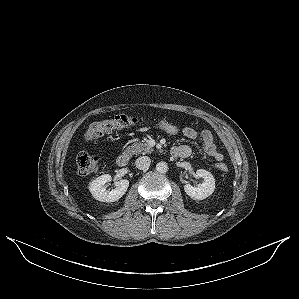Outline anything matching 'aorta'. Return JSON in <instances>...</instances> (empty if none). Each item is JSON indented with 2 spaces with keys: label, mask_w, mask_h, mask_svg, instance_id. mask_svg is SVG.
Listing matches in <instances>:
<instances>
[{
  "label": "aorta",
  "mask_w": 299,
  "mask_h": 299,
  "mask_svg": "<svg viewBox=\"0 0 299 299\" xmlns=\"http://www.w3.org/2000/svg\"><path fill=\"white\" fill-rule=\"evenodd\" d=\"M168 169L169 168H168V165L166 162L161 161V162L157 163V165H156V171L158 173H166L168 171Z\"/></svg>",
  "instance_id": "1"
}]
</instances>
